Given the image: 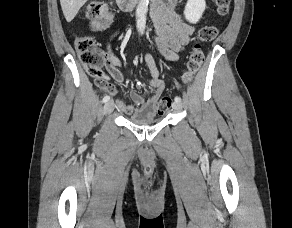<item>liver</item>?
Returning a JSON list of instances; mask_svg holds the SVG:
<instances>
[{"mask_svg":"<svg viewBox=\"0 0 292 228\" xmlns=\"http://www.w3.org/2000/svg\"><path fill=\"white\" fill-rule=\"evenodd\" d=\"M86 2L87 0H60L66 21L71 22Z\"/></svg>","mask_w":292,"mask_h":228,"instance_id":"6515ba94","label":"liver"}]
</instances>
